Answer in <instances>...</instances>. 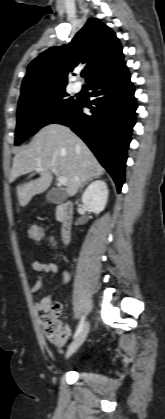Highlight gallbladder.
Instances as JSON below:
<instances>
[{
    "instance_id": "bac80fb5",
    "label": "gallbladder",
    "mask_w": 165,
    "mask_h": 419,
    "mask_svg": "<svg viewBox=\"0 0 165 419\" xmlns=\"http://www.w3.org/2000/svg\"><path fill=\"white\" fill-rule=\"evenodd\" d=\"M46 199L49 202L60 203L66 199V194L59 189H52L47 193Z\"/></svg>"
}]
</instances>
